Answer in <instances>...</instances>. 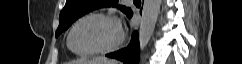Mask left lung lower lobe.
<instances>
[{
  "label": "left lung lower lobe",
  "instance_id": "left-lung-lower-lobe-1",
  "mask_svg": "<svg viewBox=\"0 0 242 64\" xmlns=\"http://www.w3.org/2000/svg\"><path fill=\"white\" fill-rule=\"evenodd\" d=\"M132 11L129 13L128 17L132 16ZM109 58L117 59L124 64H138L139 58V41L138 34L134 32L131 37L130 44L117 52H113L106 55Z\"/></svg>",
  "mask_w": 242,
  "mask_h": 64
}]
</instances>
